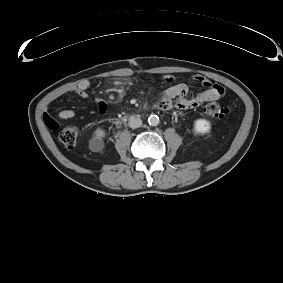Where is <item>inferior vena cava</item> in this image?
<instances>
[{
	"label": "inferior vena cava",
	"mask_w": 283,
	"mask_h": 283,
	"mask_svg": "<svg viewBox=\"0 0 283 283\" xmlns=\"http://www.w3.org/2000/svg\"><path fill=\"white\" fill-rule=\"evenodd\" d=\"M128 125L132 129L139 128L142 125V120L140 118H137V117H131L129 119Z\"/></svg>",
	"instance_id": "obj_1"
}]
</instances>
